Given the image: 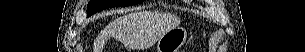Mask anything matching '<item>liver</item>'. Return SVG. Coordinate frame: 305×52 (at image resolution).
I'll return each mask as SVG.
<instances>
[{
    "label": "liver",
    "mask_w": 305,
    "mask_h": 52,
    "mask_svg": "<svg viewBox=\"0 0 305 52\" xmlns=\"http://www.w3.org/2000/svg\"><path fill=\"white\" fill-rule=\"evenodd\" d=\"M143 15L140 13H131L121 16L110 22L96 37L93 45L94 52H102L103 47L110 37L117 39L123 38L132 31H136L143 26ZM179 19L172 15H167L157 27L156 35L152 43L172 28L178 27Z\"/></svg>",
    "instance_id": "obj_1"
}]
</instances>
